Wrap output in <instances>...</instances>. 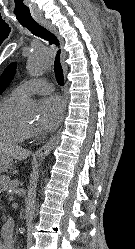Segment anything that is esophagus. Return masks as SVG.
<instances>
[{
    "mask_svg": "<svg viewBox=\"0 0 135 249\" xmlns=\"http://www.w3.org/2000/svg\"><path fill=\"white\" fill-rule=\"evenodd\" d=\"M39 22L58 38L60 46H61V63L64 67L65 66V59H66V52L63 48L64 42H63L62 37L59 35L58 30L55 28V26H53L49 21L40 20ZM65 109H66V105H65ZM60 131H61V128L58 130V132L52 138H50V140L46 144H44L41 148H39L35 152L34 155L38 156V157L47 156L54 148L56 141L59 137Z\"/></svg>",
    "mask_w": 135,
    "mask_h": 249,
    "instance_id": "1",
    "label": "esophagus"
}]
</instances>
